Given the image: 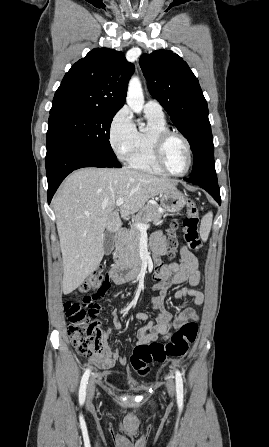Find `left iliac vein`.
<instances>
[{
  "instance_id": "left-iliac-vein-1",
  "label": "left iliac vein",
  "mask_w": 269,
  "mask_h": 447,
  "mask_svg": "<svg viewBox=\"0 0 269 447\" xmlns=\"http://www.w3.org/2000/svg\"><path fill=\"white\" fill-rule=\"evenodd\" d=\"M167 390H168V393L170 396H172L174 394L175 387H174V382L171 379H169L167 381Z\"/></svg>"
}]
</instances>
